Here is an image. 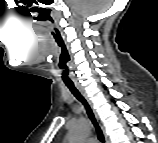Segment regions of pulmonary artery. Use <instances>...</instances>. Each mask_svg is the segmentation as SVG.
<instances>
[{
	"instance_id": "e3ab8cb5",
	"label": "pulmonary artery",
	"mask_w": 158,
	"mask_h": 143,
	"mask_svg": "<svg viewBox=\"0 0 158 143\" xmlns=\"http://www.w3.org/2000/svg\"><path fill=\"white\" fill-rule=\"evenodd\" d=\"M89 141H90V142H95V139H90Z\"/></svg>"
}]
</instances>
